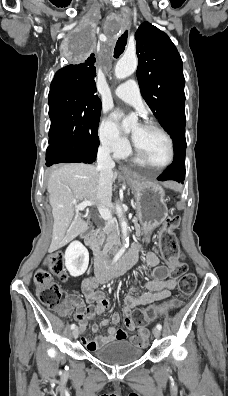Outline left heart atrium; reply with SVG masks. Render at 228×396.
<instances>
[{
    "label": "left heart atrium",
    "mask_w": 228,
    "mask_h": 396,
    "mask_svg": "<svg viewBox=\"0 0 228 396\" xmlns=\"http://www.w3.org/2000/svg\"><path fill=\"white\" fill-rule=\"evenodd\" d=\"M120 118H121V113L115 112L113 114V119L115 120V122H119Z\"/></svg>",
    "instance_id": "obj_1"
}]
</instances>
